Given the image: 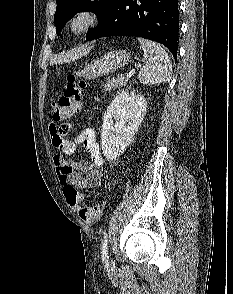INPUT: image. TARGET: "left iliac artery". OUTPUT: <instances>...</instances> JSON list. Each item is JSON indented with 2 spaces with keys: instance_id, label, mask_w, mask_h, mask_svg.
<instances>
[{
  "instance_id": "left-iliac-artery-1",
  "label": "left iliac artery",
  "mask_w": 233,
  "mask_h": 294,
  "mask_svg": "<svg viewBox=\"0 0 233 294\" xmlns=\"http://www.w3.org/2000/svg\"><path fill=\"white\" fill-rule=\"evenodd\" d=\"M101 257H102V261L105 264V266H108L109 256H108V237H107V234L104 235V238L102 240Z\"/></svg>"
}]
</instances>
